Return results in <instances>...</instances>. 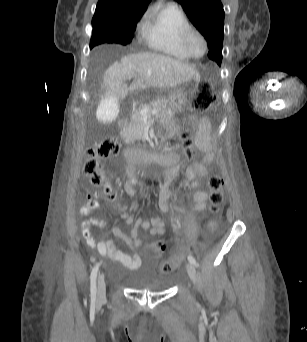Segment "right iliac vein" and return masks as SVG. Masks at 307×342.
Here are the masks:
<instances>
[{
    "label": "right iliac vein",
    "mask_w": 307,
    "mask_h": 342,
    "mask_svg": "<svg viewBox=\"0 0 307 342\" xmlns=\"http://www.w3.org/2000/svg\"><path fill=\"white\" fill-rule=\"evenodd\" d=\"M97 298L102 300L105 298L106 294V284H105V279L104 275L100 274L98 276V281H97Z\"/></svg>",
    "instance_id": "obj_1"
}]
</instances>
